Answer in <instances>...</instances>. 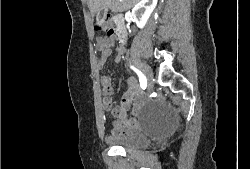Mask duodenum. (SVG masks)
I'll list each match as a JSON object with an SVG mask.
<instances>
[{"label":"duodenum","instance_id":"1","mask_svg":"<svg viewBox=\"0 0 250 169\" xmlns=\"http://www.w3.org/2000/svg\"><path fill=\"white\" fill-rule=\"evenodd\" d=\"M115 20L118 26V35L122 41H125L127 38V31L124 25V18L121 14H117L115 17ZM99 58L101 59L102 57H99Z\"/></svg>","mask_w":250,"mask_h":169}]
</instances>
